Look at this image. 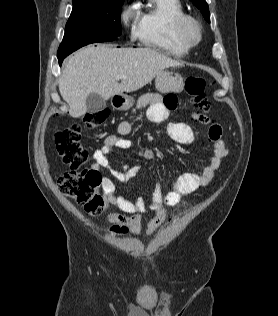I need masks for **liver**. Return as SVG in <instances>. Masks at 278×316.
I'll use <instances>...</instances> for the list:
<instances>
[{
  "label": "liver",
  "instance_id": "1",
  "mask_svg": "<svg viewBox=\"0 0 278 316\" xmlns=\"http://www.w3.org/2000/svg\"><path fill=\"white\" fill-rule=\"evenodd\" d=\"M180 65L153 49L88 46L67 60L59 79V91L69 105L70 116L77 118L86 114V98L90 93L108 100L123 92H134L165 68ZM119 75L127 78L119 83Z\"/></svg>",
  "mask_w": 278,
  "mask_h": 316
}]
</instances>
